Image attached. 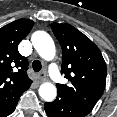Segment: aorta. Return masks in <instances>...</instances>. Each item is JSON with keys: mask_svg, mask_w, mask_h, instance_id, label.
<instances>
[{"mask_svg": "<svg viewBox=\"0 0 117 117\" xmlns=\"http://www.w3.org/2000/svg\"><path fill=\"white\" fill-rule=\"evenodd\" d=\"M32 44L38 54L45 60L50 61L55 56V44L51 36L45 31H36L31 37ZM39 95L46 102H51L56 98V86L50 82H45L39 87Z\"/></svg>", "mask_w": 117, "mask_h": 117, "instance_id": "obj_1", "label": "aorta"}]
</instances>
